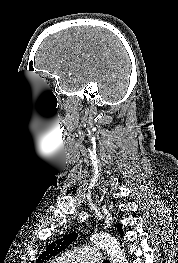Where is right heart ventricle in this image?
<instances>
[{"mask_svg": "<svg viewBox=\"0 0 178 263\" xmlns=\"http://www.w3.org/2000/svg\"><path fill=\"white\" fill-rule=\"evenodd\" d=\"M51 263H59L57 260L52 261Z\"/></svg>", "mask_w": 178, "mask_h": 263, "instance_id": "obj_1", "label": "right heart ventricle"}]
</instances>
